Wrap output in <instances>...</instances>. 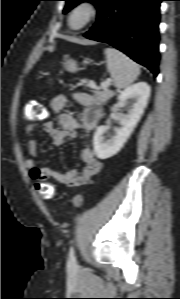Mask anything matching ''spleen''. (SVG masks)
I'll list each match as a JSON object with an SVG mask.
<instances>
[{"mask_svg": "<svg viewBox=\"0 0 180 299\" xmlns=\"http://www.w3.org/2000/svg\"><path fill=\"white\" fill-rule=\"evenodd\" d=\"M107 69L118 89L127 88L138 77L140 69L137 63L115 48H106Z\"/></svg>", "mask_w": 180, "mask_h": 299, "instance_id": "obj_1", "label": "spleen"}]
</instances>
